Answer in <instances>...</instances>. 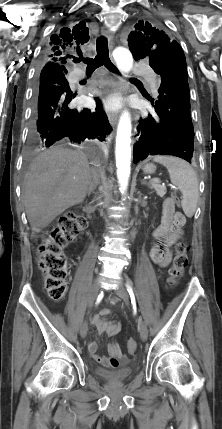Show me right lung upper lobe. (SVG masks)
Wrapping results in <instances>:
<instances>
[{
    "mask_svg": "<svg viewBox=\"0 0 222 429\" xmlns=\"http://www.w3.org/2000/svg\"><path fill=\"white\" fill-rule=\"evenodd\" d=\"M89 40L88 29L81 28L79 25L70 28L61 29L57 35H52L51 43L44 51L45 62H53L59 64L64 73L67 70L64 64L70 57V54L79 51V45L84 44Z\"/></svg>",
    "mask_w": 222,
    "mask_h": 429,
    "instance_id": "1",
    "label": "right lung upper lobe"
}]
</instances>
